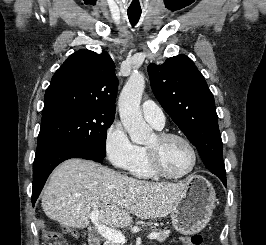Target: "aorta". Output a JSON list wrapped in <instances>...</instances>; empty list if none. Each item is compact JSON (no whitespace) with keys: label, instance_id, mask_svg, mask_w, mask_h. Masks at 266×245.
<instances>
[{"label":"aorta","instance_id":"1","mask_svg":"<svg viewBox=\"0 0 266 245\" xmlns=\"http://www.w3.org/2000/svg\"><path fill=\"white\" fill-rule=\"evenodd\" d=\"M145 88V80L142 72H132L126 84H124L119 100V112L121 123L128 131L132 143L145 145L152 135V129L145 123L140 110V100Z\"/></svg>","mask_w":266,"mask_h":245}]
</instances>
